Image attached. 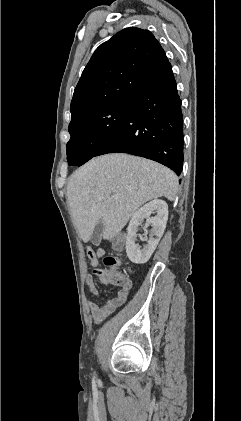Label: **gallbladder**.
Listing matches in <instances>:
<instances>
[{
    "label": "gallbladder",
    "instance_id": "obj_1",
    "mask_svg": "<svg viewBox=\"0 0 241 421\" xmlns=\"http://www.w3.org/2000/svg\"><path fill=\"white\" fill-rule=\"evenodd\" d=\"M103 231H104V224L100 220L96 224V226L94 228V231H93V233L91 235V238H90V240H91V242H92L93 245L98 246L100 244L101 236H102Z\"/></svg>",
    "mask_w": 241,
    "mask_h": 421
}]
</instances>
